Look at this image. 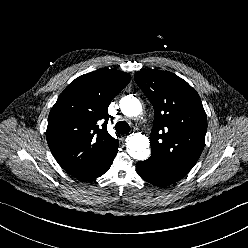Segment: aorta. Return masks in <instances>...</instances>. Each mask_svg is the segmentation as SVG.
Segmentation results:
<instances>
[{
    "mask_svg": "<svg viewBox=\"0 0 248 248\" xmlns=\"http://www.w3.org/2000/svg\"><path fill=\"white\" fill-rule=\"evenodd\" d=\"M121 112L128 117H136L142 112L140 101L134 97H123L120 100ZM126 147L128 154L137 160H145L150 155L149 139L140 133L127 136Z\"/></svg>",
    "mask_w": 248,
    "mask_h": 248,
    "instance_id": "762f6f07",
    "label": "aorta"
}]
</instances>
